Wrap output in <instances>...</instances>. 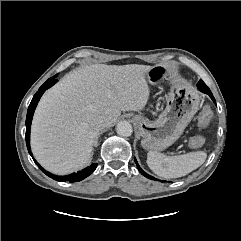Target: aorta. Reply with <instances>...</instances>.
<instances>
[{"mask_svg":"<svg viewBox=\"0 0 241 241\" xmlns=\"http://www.w3.org/2000/svg\"><path fill=\"white\" fill-rule=\"evenodd\" d=\"M117 134L123 137L131 136L133 129L128 121H120L116 126Z\"/></svg>","mask_w":241,"mask_h":241,"instance_id":"aorta-1","label":"aorta"}]
</instances>
